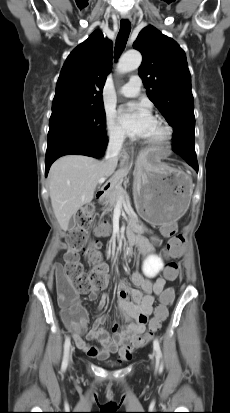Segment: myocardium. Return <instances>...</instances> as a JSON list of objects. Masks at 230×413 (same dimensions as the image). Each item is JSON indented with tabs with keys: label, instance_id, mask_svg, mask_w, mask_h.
I'll return each mask as SVG.
<instances>
[{
	"label": "myocardium",
	"instance_id": "f54148a6",
	"mask_svg": "<svg viewBox=\"0 0 230 413\" xmlns=\"http://www.w3.org/2000/svg\"><path fill=\"white\" fill-rule=\"evenodd\" d=\"M155 122L159 126L160 135L154 139H145L144 143L151 148H160L167 144V142L170 140L172 130L170 126L160 118H156Z\"/></svg>",
	"mask_w": 230,
	"mask_h": 413
}]
</instances>
